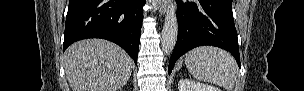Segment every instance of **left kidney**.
<instances>
[{
  "instance_id": "5707ae66",
  "label": "left kidney",
  "mask_w": 304,
  "mask_h": 91,
  "mask_svg": "<svg viewBox=\"0 0 304 91\" xmlns=\"http://www.w3.org/2000/svg\"><path fill=\"white\" fill-rule=\"evenodd\" d=\"M179 91H221L219 88L208 84H202L190 79H182L178 83Z\"/></svg>"
}]
</instances>
